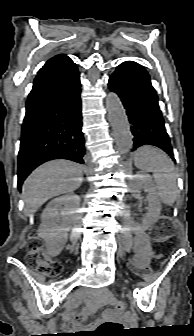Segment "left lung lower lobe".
I'll list each match as a JSON object with an SVG mask.
<instances>
[{"label":"left lung lower lobe","instance_id":"left-lung-lower-lobe-1","mask_svg":"<svg viewBox=\"0 0 194 336\" xmlns=\"http://www.w3.org/2000/svg\"><path fill=\"white\" fill-rule=\"evenodd\" d=\"M109 88L121 99L133 135V148L153 145L175 160L150 76L140 64L126 61L109 79Z\"/></svg>","mask_w":194,"mask_h":336}]
</instances>
